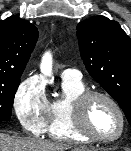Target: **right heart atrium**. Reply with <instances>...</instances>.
I'll return each instance as SVG.
<instances>
[{"label": "right heart atrium", "instance_id": "obj_1", "mask_svg": "<svg viewBox=\"0 0 131 151\" xmlns=\"http://www.w3.org/2000/svg\"><path fill=\"white\" fill-rule=\"evenodd\" d=\"M13 109L27 132L36 136L45 132L49 101L38 77L29 76L18 85L13 96Z\"/></svg>", "mask_w": 131, "mask_h": 151}]
</instances>
